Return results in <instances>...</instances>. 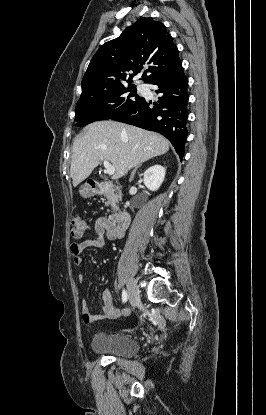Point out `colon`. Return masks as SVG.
<instances>
[{"mask_svg": "<svg viewBox=\"0 0 266 415\" xmlns=\"http://www.w3.org/2000/svg\"><path fill=\"white\" fill-rule=\"evenodd\" d=\"M90 230V222L83 216H75L71 225V236L74 239L83 237Z\"/></svg>", "mask_w": 266, "mask_h": 415, "instance_id": "colon-1", "label": "colon"}]
</instances>
